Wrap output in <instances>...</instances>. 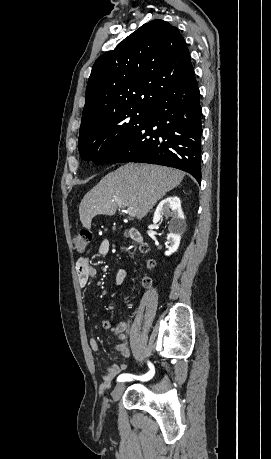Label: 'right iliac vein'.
Segmentation results:
<instances>
[{"label": "right iliac vein", "mask_w": 271, "mask_h": 459, "mask_svg": "<svg viewBox=\"0 0 271 459\" xmlns=\"http://www.w3.org/2000/svg\"><path fill=\"white\" fill-rule=\"evenodd\" d=\"M126 385L124 383H118L113 392H112V398L114 401H118V399L121 397Z\"/></svg>", "instance_id": "obj_1"}]
</instances>
